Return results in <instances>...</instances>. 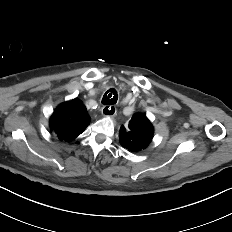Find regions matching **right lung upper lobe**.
<instances>
[{"instance_id": "cb5924a9", "label": "right lung upper lobe", "mask_w": 232, "mask_h": 232, "mask_svg": "<svg viewBox=\"0 0 232 232\" xmlns=\"http://www.w3.org/2000/svg\"><path fill=\"white\" fill-rule=\"evenodd\" d=\"M90 123V117L83 103L75 98L60 104L49 122L51 132L60 140L70 142L83 133Z\"/></svg>"}]
</instances>
